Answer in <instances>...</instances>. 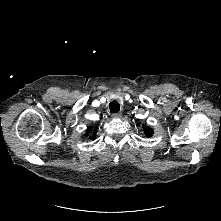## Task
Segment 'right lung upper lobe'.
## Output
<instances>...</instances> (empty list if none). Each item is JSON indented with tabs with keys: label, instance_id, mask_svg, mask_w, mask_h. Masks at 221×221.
<instances>
[{
	"label": "right lung upper lobe",
	"instance_id": "1",
	"mask_svg": "<svg viewBox=\"0 0 221 221\" xmlns=\"http://www.w3.org/2000/svg\"><path fill=\"white\" fill-rule=\"evenodd\" d=\"M90 128L88 129V132H90ZM95 135H96V132H94V135H93V137H92V139H94L95 138Z\"/></svg>",
	"mask_w": 221,
	"mask_h": 221
}]
</instances>
